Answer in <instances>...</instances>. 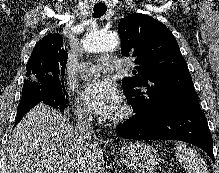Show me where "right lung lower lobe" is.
<instances>
[{"mask_svg":"<svg viewBox=\"0 0 219 173\" xmlns=\"http://www.w3.org/2000/svg\"><path fill=\"white\" fill-rule=\"evenodd\" d=\"M44 102L45 104L52 106L54 108L59 109L60 111H64L66 108V104L63 102H59L51 95H48L44 92H34L22 95L21 101L18 105V113L15 125L19 123L22 117L35 105L39 102Z\"/></svg>","mask_w":219,"mask_h":173,"instance_id":"98d812e1","label":"right lung lower lobe"}]
</instances>
